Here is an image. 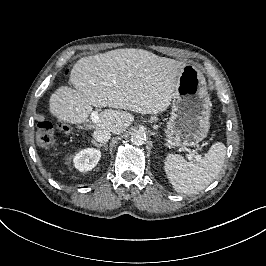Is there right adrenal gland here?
<instances>
[{
    "instance_id": "2a0ac1e0",
    "label": "right adrenal gland",
    "mask_w": 266,
    "mask_h": 266,
    "mask_svg": "<svg viewBox=\"0 0 266 266\" xmlns=\"http://www.w3.org/2000/svg\"><path fill=\"white\" fill-rule=\"evenodd\" d=\"M91 143H93L96 147H104L105 150H107L108 145L106 143H97L95 140H91Z\"/></svg>"
}]
</instances>
